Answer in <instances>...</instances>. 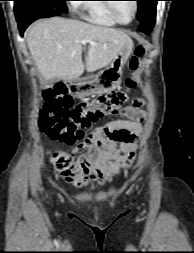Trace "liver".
<instances>
[{
  "label": "liver",
  "mask_w": 194,
  "mask_h": 253,
  "mask_svg": "<svg viewBox=\"0 0 194 253\" xmlns=\"http://www.w3.org/2000/svg\"><path fill=\"white\" fill-rule=\"evenodd\" d=\"M28 48L37 69L46 81L71 80L84 72L82 43H89L85 61L89 72L108 66L133 41L124 32L78 20L53 17L38 20L26 31Z\"/></svg>",
  "instance_id": "obj_1"
}]
</instances>
